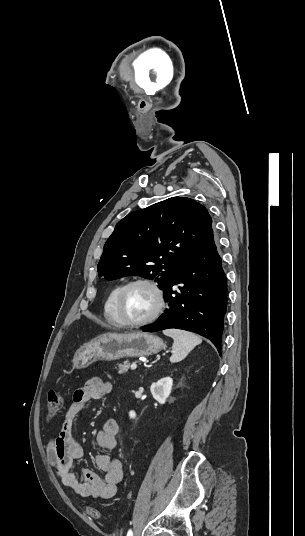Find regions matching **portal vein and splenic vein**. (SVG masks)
<instances>
[{
    "label": "portal vein and splenic vein",
    "mask_w": 305,
    "mask_h": 536,
    "mask_svg": "<svg viewBox=\"0 0 305 536\" xmlns=\"http://www.w3.org/2000/svg\"><path fill=\"white\" fill-rule=\"evenodd\" d=\"M136 368H137V364H132L131 370H136Z\"/></svg>",
    "instance_id": "portal-vein-and-splenic-vein-1"
}]
</instances>
